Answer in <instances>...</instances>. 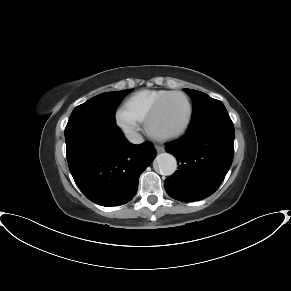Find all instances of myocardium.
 <instances>
[{"instance_id":"obj_1","label":"myocardium","mask_w":291,"mask_h":291,"mask_svg":"<svg viewBox=\"0 0 291 291\" xmlns=\"http://www.w3.org/2000/svg\"><path fill=\"white\" fill-rule=\"evenodd\" d=\"M173 95H180L182 96L187 104V117L185 122L177 129L175 130H171V131H160L155 127V118L161 108V106L163 105L164 101ZM192 117H193V106L191 103V100L189 99L188 95L185 94L184 92L181 91H169L168 93H166L165 95H163L161 98H159V100L155 103V105L152 107V109L150 110V112L148 113L145 123H146V128L148 133L157 139H168V138H172V137H176L181 135L190 125L191 121H192Z\"/></svg>"}]
</instances>
